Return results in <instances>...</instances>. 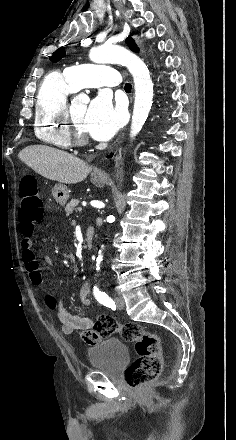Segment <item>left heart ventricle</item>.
Segmentation results:
<instances>
[{
	"instance_id": "1",
	"label": "left heart ventricle",
	"mask_w": 236,
	"mask_h": 440,
	"mask_svg": "<svg viewBox=\"0 0 236 440\" xmlns=\"http://www.w3.org/2000/svg\"><path fill=\"white\" fill-rule=\"evenodd\" d=\"M72 114L74 120L76 122L77 127L84 133L87 134L85 125H84V117L87 109V104L83 102H74L71 104Z\"/></svg>"
}]
</instances>
